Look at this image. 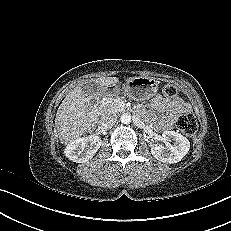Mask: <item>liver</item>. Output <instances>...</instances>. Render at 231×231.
<instances>
[{
    "instance_id": "1",
    "label": "liver",
    "mask_w": 231,
    "mask_h": 231,
    "mask_svg": "<svg viewBox=\"0 0 231 231\" xmlns=\"http://www.w3.org/2000/svg\"><path fill=\"white\" fill-rule=\"evenodd\" d=\"M135 77H129L126 82ZM101 88H109L119 82L117 77H100L92 80ZM97 116L90 112L81 85L71 90L60 104L55 116V128L62 144L67 146L82 135L91 131Z\"/></svg>"
}]
</instances>
